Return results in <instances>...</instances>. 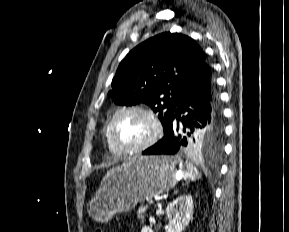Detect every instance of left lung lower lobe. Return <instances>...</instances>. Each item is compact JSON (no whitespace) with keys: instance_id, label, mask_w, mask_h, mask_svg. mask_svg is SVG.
<instances>
[{"instance_id":"1","label":"left lung lower lobe","mask_w":289,"mask_h":232,"mask_svg":"<svg viewBox=\"0 0 289 232\" xmlns=\"http://www.w3.org/2000/svg\"><path fill=\"white\" fill-rule=\"evenodd\" d=\"M181 114L183 116L181 117ZM222 122L215 78L209 63H205L181 94L174 116L164 137L144 155L186 152L191 138Z\"/></svg>"}]
</instances>
